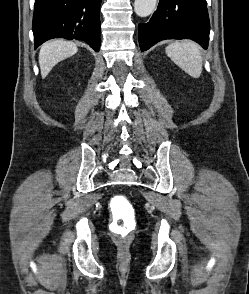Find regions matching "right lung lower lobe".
<instances>
[{
  "mask_svg": "<svg viewBox=\"0 0 249 294\" xmlns=\"http://www.w3.org/2000/svg\"><path fill=\"white\" fill-rule=\"evenodd\" d=\"M101 0H35V48L51 38L83 40L100 49Z\"/></svg>",
  "mask_w": 249,
  "mask_h": 294,
  "instance_id": "right-lung-lower-lobe-1",
  "label": "right lung lower lobe"
}]
</instances>
